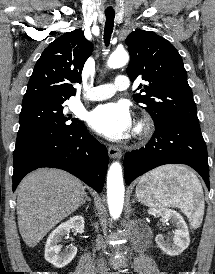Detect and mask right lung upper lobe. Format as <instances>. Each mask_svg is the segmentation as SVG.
<instances>
[{"label":"right lung upper lobe","mask_w":215,"mask_h":274,"mask_svg":"<svg viewBox=\"0 0 215 274\" xmlns=\"http://www.w3.org/2000/svg\"><path fill=\"white\" fill-rule=\"evenodd\" d=\"M92 44L80 29L67 32L42 53L30 77L22 106L39 102H65L76 94L71 83L81 82L83 66Z\"/></svg>","instance_id":"obj_1"}]
</instances>
